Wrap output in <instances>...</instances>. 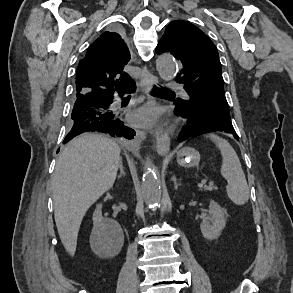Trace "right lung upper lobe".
I'll return each instance as SVG.
<instances>
[{"label": "right lung upper lobe", "mask_w": 293, "mask_h": 293, "mask_svg": "<svg viewBox=\"0 0 293 293\" xmlns=\"http://www.w3.org/2000/svg\"><path fill=\"white\" fill-rule=\"evenodd\" d=\"M130 52L121 36L104 32L87 50L76 73V93L121 91L133 81L124 72Z\"/></svg>", "instance_id": "1"}]
</instances>
